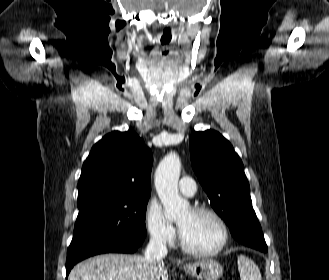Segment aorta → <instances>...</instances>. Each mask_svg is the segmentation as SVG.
Instances as JSON below:
<instances>
[{"label": "aorta", "mask_w": 329, "mask_h": 280, "mask_svg": "<svg viewBox=\"0 0 329 280\" xmlns=\"http://www.w3.org/2000/svg\"><path fill=\"white\" fill-rule=\"evenodd\" d=\"M181 162L176 153H169L159 163L155 173V187L168 219H176L188 212L189 203L178 191Z\"/></svg>", "instance_id": "aorta-1"}]
</instances>
